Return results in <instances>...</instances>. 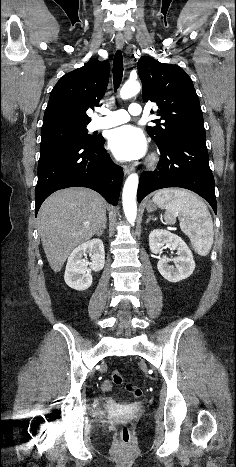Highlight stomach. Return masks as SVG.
<instances>
[{"instance_id": "obj_1", "label": "stomach", "mask_w": 236, "mask_h": 467, "mask_svg": "<svg viewBox=\"0 0 236 467\" xmlns=\"http://www.w3.org/2000/svg\"><path fill=\"white\" fill-rule=\"evenodd\" d=\"M146 209L148 212H154L157 209V204L154 201H148Z\"/></svg>"}]
</instances>
